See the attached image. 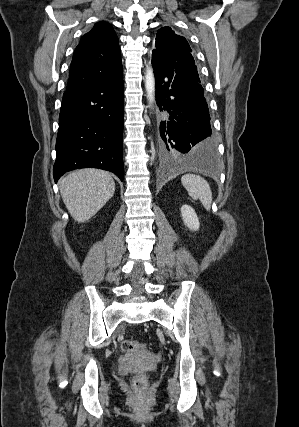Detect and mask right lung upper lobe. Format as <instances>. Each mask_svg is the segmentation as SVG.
<instances>
[{"instance_id": "right-lung-upper-lobe-1", "label": "right lung upper lobe", "mask_w": 299, "mask_h": 427, "mask_svg": "<svg viewBox=\"0 0 299 427\" xmlns=\"http://www.w3.org/2000/svg\"><path fill=\"white\" fill-rule=\"evenodd\" d=\"M121 70L118 37L109 23L98 22L75 49L66 90L104 81Z\"/></svg>"}]
</instances>
